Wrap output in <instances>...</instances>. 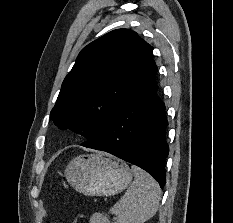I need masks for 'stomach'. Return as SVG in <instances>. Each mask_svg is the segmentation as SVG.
Listing matches in <instances>:
<instances>
[{"mask_svg": "<svg viewBox=\"0 0 233 223\" xmlns=\"http://www.w3.org/2000/svg\"><path fill=\"white\" fill-rule=\"evenodd\" d=\"M64 175L77 191L85 195H116L133 179L127 163L108 153L78 155L65 167Z\"/></svg>", "mask_w": 233, "mask_h": 223, "instance_id": "0dacf381", "label": "stomach"}]
</instances>
